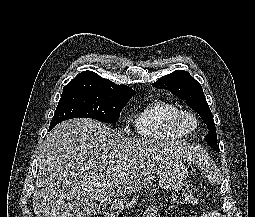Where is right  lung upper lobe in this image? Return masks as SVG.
Returning a JSON list of instances; mask_svg holds the SVG:
<instances>
[{
  "label": "right lung upper lobe",
  "mask_w": 255,
  "mask_h": 217,
  "mask_svg": "<svg viewBox=\"0 0 255 217\" xmlns=\"http://www.w3.org/2000/svg\"><path fill=\"white\" fill-rule=\"evenodd\" d=\"M69 90H84L113 94H135V91L130 87L126 85H117L110 80L98 76L92 71H85L78 74L63 88V91Z\"/></svg>",
  "instance_id": "cb5924a9"
}]
</instances>
